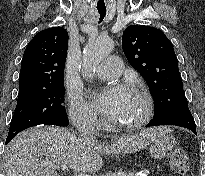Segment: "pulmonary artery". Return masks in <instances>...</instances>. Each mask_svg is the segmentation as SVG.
Segmentation results:
<instances>
[{
  "label": "pulmonary artery",
  "instance_id": "obj_1",
  "mask_svg": "<svg viewBox=\"0 0 205 176\" xmlns=\"http://www.w3.org/2000/svg\"><path fill=\"white\" fill-rule=\"evenodd\" d=\"M123 71V64L119 57L110 56L102 61L93 71L96 77L102 79L117 78Z\"/></svg>",
  "mask_w": 205,
  "mask_h": 176
}]
</instances>
